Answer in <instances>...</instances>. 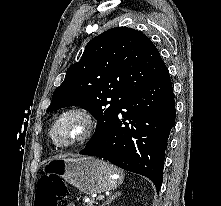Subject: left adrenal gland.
I'll return each mask as SVG.
<instances>
[{
    "instance_id": "a2214340",
    "label": "left adrenal gland",
    "mask_w": 221,
    "mask_h": 206,
    "mask_svg": "<svg viewBox=\"0 0 221 206\" xmlns=\"http://www.w3.org/2000/svg\"><path fill=\"white\" fill-rule=\"evenodd\" d=\"M120 195H121L120 192H116L114 195H112L111 197H109L101 206L108 205L109 203H111L114 199H116V198L119 197Z\"/></svg>"
}]
</instances>
